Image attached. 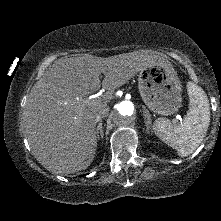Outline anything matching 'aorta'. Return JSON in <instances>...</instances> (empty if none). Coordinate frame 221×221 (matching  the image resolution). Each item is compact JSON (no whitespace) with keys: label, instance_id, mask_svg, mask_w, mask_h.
<instances>
[{"label":"aorta","instance_id":"aorta-1","mask_svg":"<svg viewBox=\"0 0 221 221\" xmlns=\"http://www.w3.org/2000/svg\"><path fill=\"white\" fill-rule=\"evenodd\" d=\"M135 117L136 109L131 101H120L113 108V120L118 127H128L134 122Z\"/></svg>","mask_w":221,"mask_h":221}]
</instances>
